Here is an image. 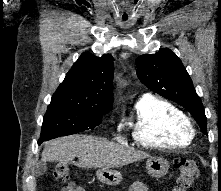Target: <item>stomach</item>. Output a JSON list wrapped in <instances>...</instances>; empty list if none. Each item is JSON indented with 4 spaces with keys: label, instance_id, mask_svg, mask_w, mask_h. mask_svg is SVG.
Segmentation results:
<instances>
[{
    "label": "stomach",
    "instance_id": "obj_1",
    "mask_svg": "<svg viewBox=\"0 0 221 191\" xmlns=\"http://www.w3.org/2000/svg\"><path fill=\"white\" fill-rule=\"evenodd\" d=\"M169 163L158 157H151L146 162L147 173L154 178H161L167 174ZM97 179L109 186H115L122 182V174L114 169H99L96 172Z\"/></svg>",
    "mask_w": 221,
    "mask_h": 191
}]
</instances>
